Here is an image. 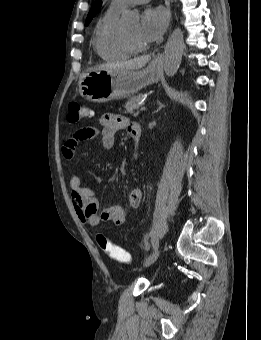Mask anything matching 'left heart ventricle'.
<instances>
[{
    "mask_svg": "<svg viewBox=\"0 0 261 340\" xmlns=\"http://www.w3.org/2000/svg\"><path fill=\"white\" fill-rule=\"evenodd\" d=\"M137 44L146 45L140 35V28L138 25H135L125 31Z\"/></svg>",
    "mask_w": 261,
    "mask_h": 340,
    "instance_id": "b2bd125f",
    "label": "left heart ventricle"
}]
</instances>
